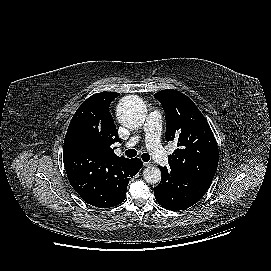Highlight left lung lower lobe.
I'll list each match as a JSON object with an SVG mask.
<instances>
[{"label":"left lung lower lobe","instance_id":"obj_1","mask_svg":"<svg viewBox=\"0 0 271 271\" xmlns=\"http://www.w3.org/2000/svg\"><path fill=\"white\" fill-rule=\"evenodd\" d=\"M162 178L154 188L157 202L169 210H184L196 204L207 192L209 186L175 170L158 166Z\"/></svg>","mask_w":271,"mask_h":271}]
</instances>
